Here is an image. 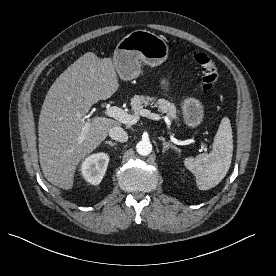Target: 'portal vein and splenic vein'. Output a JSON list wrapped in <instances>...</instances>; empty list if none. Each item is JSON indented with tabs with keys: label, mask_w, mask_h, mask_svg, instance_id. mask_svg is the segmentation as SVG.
Here are the masks:
<instances>
[{
	"label": "portal vein and splenic vein",
	"mask_w": 276,
	"mask_h": 276,
	"mask_svg": "<svg viewBox=\"0 0 276 276\" xmlns=\"http://www.w3.org/2000/svg\"><path fill=\"white\" fill-rule=\"evenodd\" d=\"M104 113L106 116L112 117V118L120 121L121 123L130 124V125L136 124L137 121L139 120V116L147 117L149 119L157 120V121L161 119L160 115L152 113L147 109H142L139 114L131 115V114L126 113L123 109H121L117 106H112V107L107 108ZM88 127H89V125H88V123H86V125L83 127L82 134L80 137L81 141L83 140V138L88 130Z\"/></svg>",
	"instance_id": "18ae733b"
}]
</instances>
